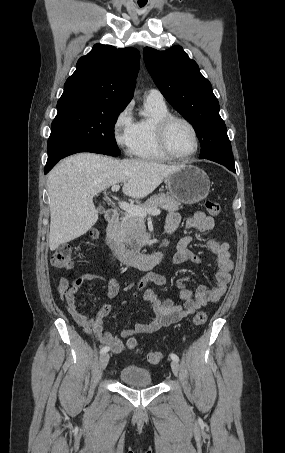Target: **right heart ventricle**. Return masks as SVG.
<instances>
[{
	"mask_svg": "<svg viewBox=\"0 0 285 453\" xmlns=\"http://www.w3.org/2000/svg\"><path fill=\"white\" fill-rule=\"evenodd\" d=\"M146 108L148 115L134 122L130 154L144 160L166 161L169 157L157 143L156 124L171 113L165 103L146 101Z\"/></svg>",
	"mask_w": 285,
	"mask_h": 453,
	"instance_id": "e07e8e85",
	"label": "right heart ventricle"
}]
</instances>
